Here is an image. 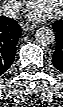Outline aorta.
I'll use <instances>...</instances> for the list:
<instances>
[{
    "label": "aorta",
    "mask_w": 63,
    "mask_h": 107,
    "mask_svg": "<svg viewBox=\"0 0 63 107\" xmlns=\"http://www.w3.org/2000/svg\"><path fill=\"white\" fill-rule=\"evenodd\" d=\"M35 40L39 45L49 46L54 42L55 34L50 28L42 27L36 31Z\"/></svg>",
    "instance_id": "762f6f07"
}]
</instances>
